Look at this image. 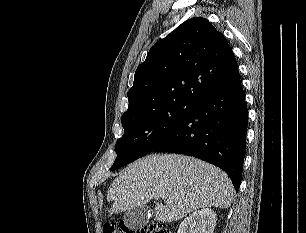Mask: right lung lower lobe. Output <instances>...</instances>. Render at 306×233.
<instances>
[{"instance_id": "1", "label": "right lung lower lobe", "mask_w": 306, "mask_h": 233, "mask_svg": "<svg viewBox=\"0 0 306 233\" xmlns=\"http://www.w3.org/2000/svg\"><path fill=\"white\" fill-rule=\"evenodd\" d=\"M248 110L241 80L209 96L153 151L180 153L207 161L239 190L246 152Z\"/></svg>"}]
</instances>
